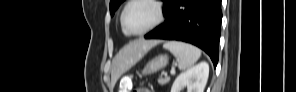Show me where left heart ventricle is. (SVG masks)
I'll return each instance as SVG.
<instances>
[{
  "instance_id": "b2bd125f",
  "label": "left heart ventricle",
  "mask_w": 296,
  "mask_h": 92,
  "mask_svg": "<svg viewBox=\"0 0 296 92\" xmlns=\"http://www.w3.org/2000/svg\"><path fill=\"white\" fill-rule=\"evenodd\" d=\"M155 7L148 2H135L125 13V25L129 31L138 32L149 27L156 19Z\"/></svg>"
}]
</instances>
